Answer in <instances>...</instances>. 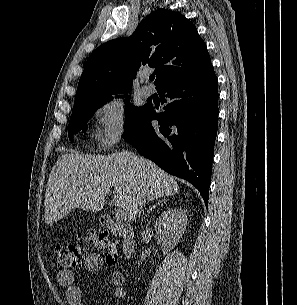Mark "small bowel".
<instances>
[{"mask_svg": "<svg viewBox=\"0 0 297 305\" xmlns=\"http://www.w3.org/2000/svg\"><path fill=\"white\" fill-rule=\"evenodd\" d=\"M103 259L96 253L88 254L84 259V267L89 272H96L103 266ZM110 278L113 288V296L121 301L126 297V290L123 287L124 276L121 272H112ZM56 280L60 287L66 289V299L70 305H86L82 290L74 284V273L69 270L56 273Z\"/></svg>", "mask_w": 297, "mask_h": 305, "instance_id": "obj_1", "label": "small bowel"}]
</instances>
